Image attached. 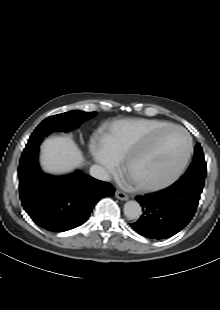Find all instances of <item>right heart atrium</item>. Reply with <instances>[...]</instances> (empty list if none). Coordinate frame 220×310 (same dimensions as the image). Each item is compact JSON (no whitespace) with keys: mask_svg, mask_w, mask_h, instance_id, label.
Returning a JSON list of instances; mask_svg holds the SVG:
<instances>
[{"mask_svg":"<svg viewBox=\"0 0 220 310\" xmlns=\"http://www.w3.org/2000/svg\"><path fill=\"white\" fill-rule=\"evenodd\" d=\"M94 159L110 174H116L118 171V162L104 151L100 143L93 149Z\"/></svg>","mask_w":220,"mask_h":310,"instance_id":"right-heart-atrium-1","label":"right heart atrium"}]
</instances>
